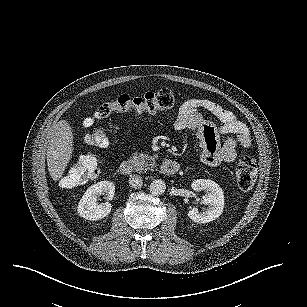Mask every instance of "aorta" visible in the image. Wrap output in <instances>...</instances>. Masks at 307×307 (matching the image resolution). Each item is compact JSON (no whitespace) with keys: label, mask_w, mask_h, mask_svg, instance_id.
Segmentation results:
<instances>
[{"label":"aorta","mask_w":307,"mask_h":307,"mask_svg":"<svg viewBox=\"0 0 307 307\" xmlns=\"http://www.w3.org/2000/svg\"><path fill=\"white\" fill-rule=\"evenodd\" d=\"M149 190L153 196L162 195L166 190V183L162 179H155L150 183Z\"/></svg>","instance_id":"obj_1"}]
</instances>
